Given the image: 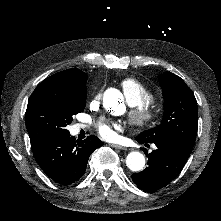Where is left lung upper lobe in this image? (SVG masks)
I'll use <instances>...</instances> for the list:
<instances>
[{"label": "left lung upper lobe", "mask_w": 221, "mask_h": 221, "mask_svg": "<svg viewBox=\"0 0 221 221\" xmlns=\"http://www.w3.org/2000/svg\"><path fill=\"white\" fill-rule=\"evenodd\" d=\"M164 97V115L160 125L138 135L143 139L169 138L189 151L198 128L197 101L194 93L179 76L164 73L159 77Z\"/></svg>", "instance_id": "1"}]
</instances>
